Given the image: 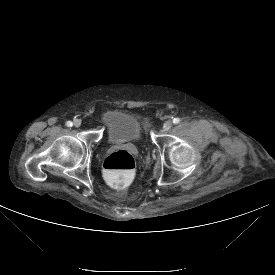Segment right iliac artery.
I'll return each mask as SVG.
<instances>
[{
  "mask_svg": "<svg viewBox=\"0 0 275 275\" xmlns=\"http://www.w3.org/2000/svg\"><path fill=\"white\" fill-rule=\"evenodd\" d=\"M66 125H67L68 127H72L73 123H72L71 121H67Z\"/></svg>",
  "mask_w": 275,
  "mask_h": 275,
  "instance_id": "right-iliac-artery-1",
  "label": "right iliac artery"
}]
</instances>
